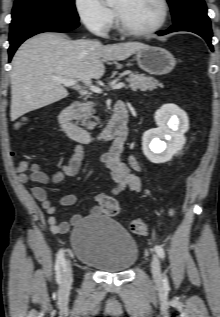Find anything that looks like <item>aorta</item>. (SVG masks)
Masks as SVG:
<instances>
[{
  "label": "aorta",
  "mask_w": 220,
  "mask_h": 317,
  "mask_svg": "<svg viewBox=\"0 0 220 317\" xmlns=\"http://www.w3.org/2000/svg\"><path fill=\"white\" fill-rule=\"evenodd\" d=\"M108 4L114 3L116 0H105Z\"/></svg>",
  "instance_id": "obj_1"
}]
</instances>
